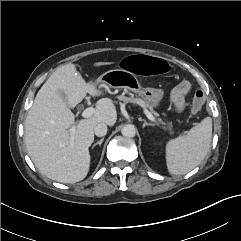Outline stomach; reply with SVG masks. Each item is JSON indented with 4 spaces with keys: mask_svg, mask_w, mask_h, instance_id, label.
I'll list each match as a JSON object with an SVG mask.
<instances>
[{
    "mask_svg": "<svg viewBox=\"0 0 241 241\" xmlns=\"http://www.w3.org/2000/svg\"><path fill=\"white\" fill-rule=\"evenodd\" d=\"M98 83L101 87L106 89H129L142 97V99L152 108L159 106L164 95L162 89L153 87L143 88L137 79V75L130 73L123 68L107 71L98 78Z\"/></svg>",
    "mask_w": 241,
    "mask_h": 241,
    "instance_id": "1",
    "label": "stomach"
}]
</instances>
